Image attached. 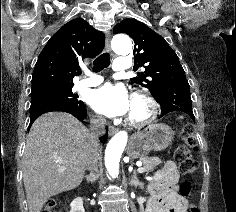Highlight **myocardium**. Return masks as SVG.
Segmentation results:
<instances>
[{
  "mask_svg": "<svg viewBox=\"0 0 236 212\" xmlns=\"http://www.w3.org/2000/svg\"><path fill=\"white\" fill-rule=\"evenodd\" d=\"M132 102H138L143 106V112L139 116L132 113L127 117V124L133 128H143L151 124L158 114V104L153 97L144 91H136L132 95Z\"/></svg>",
  "mask_w": 236,
  "mask_h": 212,
  "instance_id": "f54148a6",
  "label": "myocardium"
}]
</instances>
